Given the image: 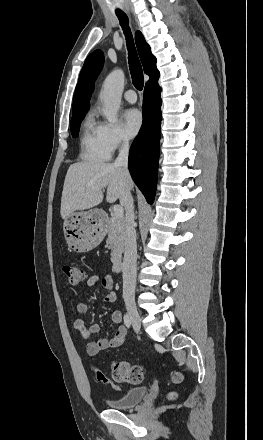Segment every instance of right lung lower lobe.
I'll use <instances>...</instances> for the list:
<instances>
[{
	"mask_svg": "<svg viewBox=\"0 0 263 440\" xmlns=\"http://www.w3.org/2000/svg\"><path fill=\"white\" fill-rule=\"evenodd\" d=\"M161 88L158 78L147 82L143 98V123L134 140L128 167L131 176L152 204L156 191L161 124Z\"/></svg>",
	"mask_w": 263,
	"mask_h": 440,
	"instance_id": "right-lung-lower-lobe-1",
	"label": "right lung lower lobe"
}]
</instances>
